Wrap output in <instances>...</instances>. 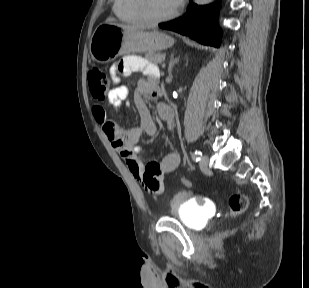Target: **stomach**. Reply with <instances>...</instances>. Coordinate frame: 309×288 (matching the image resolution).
I'll list each match as a JSON object with an SVG mask.
<instances>
[{"instance_id":"stomach-1","label":"stomach","mask_w":309,"mask_h":288,"mask_svg":"<svg viewBox=\"0 0 309 288\" xmlns=\"http://www.w3.org/2000/svg\"><path fill=\"white\" fill-rule=\"evenodd\" d=\"M174 39L158 31L124 28L117 24L99 25L91 36L89 52L98 63H107L128 53H155L171 47Z\"/></svg>"}]
</instances>
